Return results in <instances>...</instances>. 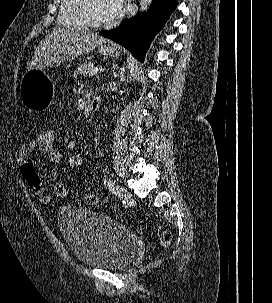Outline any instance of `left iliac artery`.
<instances>
[{
	"instance_id": "44dca946",
	"label": "left iliac artery",
	"mask_w": 272,
	"mask_h": 303,
	"mask_svg": "<svg viewBox=\"0 0 272 303\" xmlns=\"http://www.w3.org/2000/svg\"><path fill=\"white\" fill-rule=\"evenodd\" d=\"M107 187H108L109 191L114 192L115 186H114L113 181L110 178L107 180Z\"/></svg>"
}]
</instances>
